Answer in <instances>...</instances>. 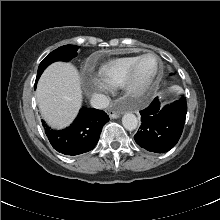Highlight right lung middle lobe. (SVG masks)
<instances>
[{
  "mask_svg": "<svg viewBox=\"0 0 220 220\" xmlns=\"http://www.w3.org/2000/svg\"><path fill=\"white\" fill-rule=\"evenodd\" d=\"M78 46L65 45L52 51L39 65L38 75L40 76L44 69L54 61H69L76 56Z\"/></svg>",
  "mask_w": 220,
  "mask_h": 220,
  "instance_id": "1",
  "label": "right lung middle lobe"
}]
</instances>
